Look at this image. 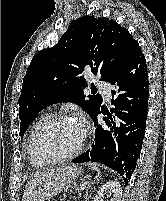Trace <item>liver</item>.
Instances as JSON below:
<instances>
[{
	"label": "liver",
	"instance_id": "liver-1",
	"mask_svg": "<svg viewBox=\"0 0 166 201\" xmlns=\"http://www.w3.org/2000/svg\"><path fill=\"white\" fill-rule=\"evenodd\" d=\"M56 172L55 169L49 170L47 172H42L35 174L34 177L28 182L27 187L25 188V192L23 195V201H29L31 200L33 196V190L41 185L49 176L54 174Z\"/></svg>",
	"mask_w": 166,
	"mask_h": 201
}]
</instances>
